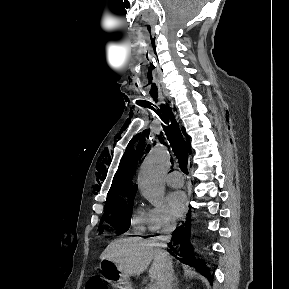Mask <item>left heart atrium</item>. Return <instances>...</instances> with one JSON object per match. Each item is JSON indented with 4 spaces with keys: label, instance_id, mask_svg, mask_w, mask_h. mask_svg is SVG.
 <instances>
[{
    "label": "left heart atrium",
    "instance_id": "39dd6f15",
    "mask_svg": "<svg viewBox=\"0 0 289 289\" xmlns=\"http://www.w3.org/2000/svg\"><path fill=\"white\" fill-rule=\"evenodd\" d=\"M168 207L175 218H180L188 208V199L183 191H174L168 195Z\"/></svg>",
    "mask_w": 289,
    "mask_h": 289
}]
</instances>
